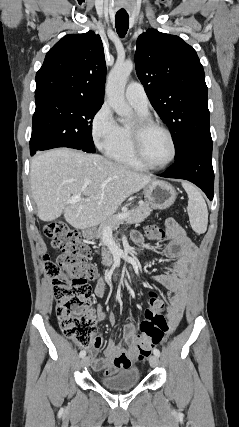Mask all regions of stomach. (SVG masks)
<instances>
[{"mask_svg":"<svg viewBox=\"0 0 239 427\" xmlns=\"http://www.w3.org/2000/svg\"><path fill=\"white\" fill-rule=\"evenodd\" d=\"M144 195L154 209L164 210L175 202L177 193L169 183L154 180L144 187ZM83 234L87 239H93L97 231L95 228H88Z\"/></svg>","mask_w":239,"mask_h":427,"instance_id":"0dacf381","label":"stomach"}]
</instances>
